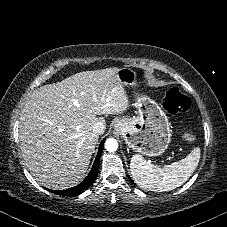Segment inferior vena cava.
<instances>
[{
    "mask_svg": "<svg viewBox=\"0 0 227 227\" xmlns=\"http://www.w3.org/2000/svg\"><path fill=\"white\" fill-rule=\"evenodd\" d=\"M104 130L105 126L103 122L98 121L93 125V132L96 134H102Z\"/></svg>",
    "mask_w": 227,
    "mask_h": 227,
    "instance_id": "602c4592",
    "label": "inferior vena cava"
}]
</instances>
